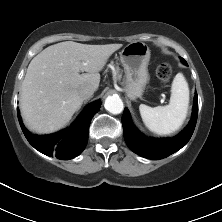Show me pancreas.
I'll return each instance as SVG.
<instances>
[{"label":"pancreas","instance_id":"pancreas-1","mask_svg":"<svg viewBox=\"0 0 222 222\" xmlns=\"http://www.w3.org/2000/svg\"><path fill=\"white\" fill-rule=\"evenodd\" d=\"M122 74L120 72L119 67H115V73H114V78L116 80H121Z\"/></svg>","mask_w":222,"mask_h":222}]
</instances>
